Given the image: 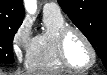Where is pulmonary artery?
<instances>
[{"instance_id": "obj_1", "label": "pulmonary artery", "mask_w": 107, "mask_h": 75, "mask_svg": "<svg viewBox=\"0 0 107 75\" xmlns=\"http://www.w3.org/2000/svg\"><path fill=\"white\" fill-rule=\"evenodd\" d=\"M45 13H56L60 14V8L55 3H46L43 8Z\"/></svg>"}]
</instances>
